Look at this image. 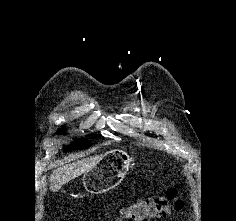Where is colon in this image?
<instances>
[{
  "label": "colon",
  "mask_w": 236,
  "mask_h": 221,
  "mask_svg": "<svg viewBox=\"0 0 236 221\" xmlns=\"http://www.w3.org/2000/svg\"><path fill=\"white\" fill-rule=\"evenodd\" d=\"M181 206L182 201L178 197L177 190L170 189L163 196L148 197L133 202L123 209L122 218L127 221H149L152 218L166 216Z\"/></svg>",
  "instance_id": "1"
}]
</instances>
